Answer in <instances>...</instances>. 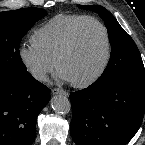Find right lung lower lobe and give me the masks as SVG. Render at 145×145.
<instances>
[{"mask_svg":"<svg viewBox=\"0 0 145 145\" xmlns=\"http://www.w3.org/2000/svg\"><path fill=\"white\" fill-rule=\"evenodd\" d=\"M50 100V90L28 72L0 81V145H31L36 118Z\"/></svg>","mask_w":145,"mask_h":145,"instance_id":"obj_1","label":"right lung lower lobe"}]
</instances>
